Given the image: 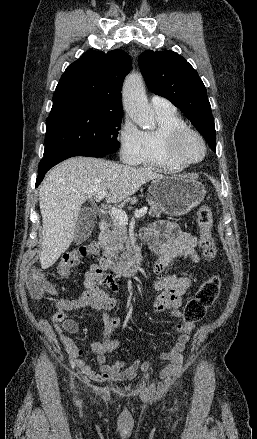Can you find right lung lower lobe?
<instances>
[{
  "label": "right lung lower lobe",
  "mask_w": 257,
  "mask_h": 439,
  "mask_svg": "<svg viewBox=\"0 0 257 439\" xmlns=\"http://www.w3.org/2000/svg\"><path fill=\"white\" fill-rule=\"evenodd\" d=\"M106 155L107 154L96 152V151H69V152H62L52 156L43 157L38 167V177L36 180V187L43 180L45 173L50 168H52L54 165L58 164L59 162L67 158L74 156L104 157Z\"/></svg>",
  "instance_id": "98d812e1"
}]
</instances>
